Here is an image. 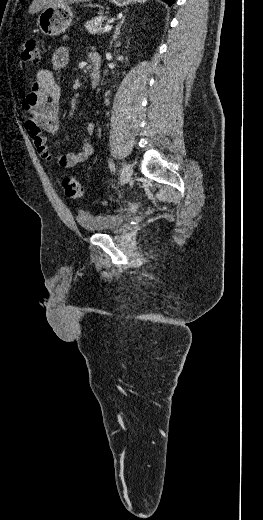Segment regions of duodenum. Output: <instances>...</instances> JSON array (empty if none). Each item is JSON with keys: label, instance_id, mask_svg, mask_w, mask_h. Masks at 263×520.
Segmentation results:
<instances>
[{"label": "duodenum", "instance_id": "obj_1", "mask_svg": "<svg viewBox=\"0 0 263 520\" xmlns=\"http://www.w3.org/2000/svg\"><path fill=\"white\" fill-rule=\"evenodd\" d=\"M90 60H91L92 68L90 71L89 78H90L91 86L93 88H96L99 86L100 81H101L102 61H101L100 55L95 52L90 54Z\"/></svg>", "mask_w": 263, "mask_h": 520}]
</instances>
